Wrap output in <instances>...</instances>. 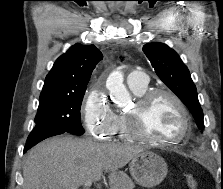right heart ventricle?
I'll use <instances>...</instances> for the list:
<instances>
[{"label": "right heart ventricle", "mask_w": 223, "mask_h": 189, "mask_svg": "<svg viewBox=\"0 0 223 189\" xmlns=\"http://www.w3.org/2000/svg\"><path fill=\"white\" fill-rule=\"evenodd\" d=\"M133 93L137 96H140L144 94L147 91V86L141 89H131ZM116 127L114 134H118L119 137L123 140L129 141L131 140L128 131H127V125H126V115L125 114H119L116 115Z\"/></svg>", "instance_id": "1"}]
</instances>
